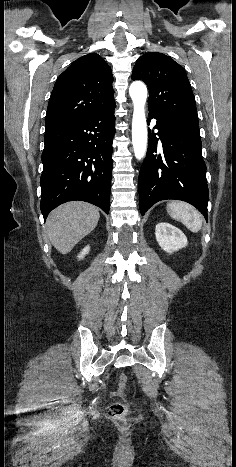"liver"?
Returning <instances> with one entry per match:
<instances>
[{"label": "liver", "instance_id": "liver-1", "mask_svg": "<svg viewBox=\"0 0 236 467\" xmlns=\"http://www.w3.org/2000/svg\"><path fill=\"white\" fill-rule=\"evenodd\" d=\"M99 209L89 203L73 201L54 209L46 220V232L61 254L69 253L98 224Z\"/></svg>", "mask_w": 236, "mask_h": 467}]
</instances>
